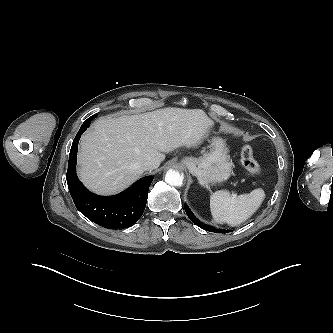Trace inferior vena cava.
<instances>
[{
	"label": "inferior vena cava",
	"instance_id": "obj_1",
	"mask_svg": "<svg viewBox=\"0 0 333 333\" xmlns=\"http://www.w3.org/2000/svg\"><path fill=\"white\" fill-rule=\"evenodd\" d=\"M159 162L155 159H147L141 163L143 170H153L159 166Z\"/></svg>",
	"mask_w": 333,
	"mask_h": 333
}]
</instances>
